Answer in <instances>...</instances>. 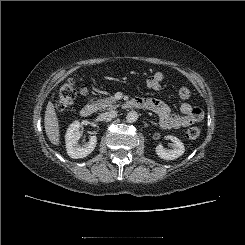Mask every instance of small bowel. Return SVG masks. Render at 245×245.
<instances>
[{"instance_id":"small-bowel-1","label":"small bowel","mask_w":245,"mask_h":245,"mask_svg":"<svg viewBox=\"0 0 245 245\" xmlns=\"http://www.w3.org/2000/svg\"><path fill=\"white\" fill-rule=\"evenodd\" d=\"M165 76L162 72L153 73L147 80L149 88L159 91L162 89ZM83 95L87 94V91L83 89L81 91ZM147 106L144 109L150 110L158 114L160 126L163 129H178L181 127H187L193 123L199 122L203 119L204 112L200 107L193 106L189 103H183L180 107L181 115L171 113L170 107L163 101L154 98H139Z\"/></svg>"}]
</instances>
